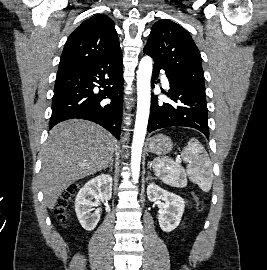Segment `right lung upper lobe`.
I'll return each instance as SVG.
<instances>
[{
  "instance_id": "obj_1",
  "label": "right lung upper lobe",
  "mask_w": 267,
  "mask_h": 270,
  "mask_svg": "<svg viewBox=\"0 0 267 270\" xmlns=\"http://www.w3.org/2000/svg\"><path fill=\"white\" fill-rule=\"evenodd\" d=\"M122 55L113 21L98 14L78 26L64 46L58 71Z\"/></svg>"
}]
</instances>
